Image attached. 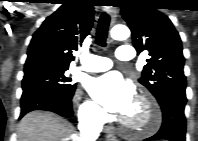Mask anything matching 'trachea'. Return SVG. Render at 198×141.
Here are the masks:
<instances>
[{"label": "trachea", "mask_w": 198, "mask_h": 141, "mask_svg": "<svg viewBox=\"0 0 198 141\" xmlns=\"http://www.w3.org/2000/svg\"><path fill=\"white\" fill-rule=\"evenodd\" d=\"M110 17L107 13L103 12L100 16L98 28L96 32V43L102 47H106V38L108 34V27Z\"/></svg>", "instance_id": "obj_1"}]
</instances>
